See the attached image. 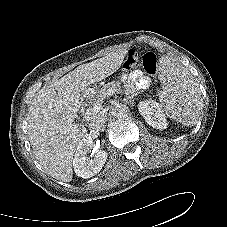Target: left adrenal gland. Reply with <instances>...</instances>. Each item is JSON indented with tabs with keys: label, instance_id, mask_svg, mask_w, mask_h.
<instances>
[{
	"label": "left adrenal gland",
	"instance_id": "left-adrenal-gland-1",
	"mask_svg": "<svg viewBox=\"0 0 227 227\" xmlns=\"http://www.w3.org/2000/svg\"><path fill=\"white\" fill-rule=\"evenodd\" d=\"M136 95V94H135ZM133 97H134V94L132 95V96H127L126 98H125V101L126 102H131V100L133 99Z\"/></svg>",
	"mask_w": 227,
	"mask_h": 227
}]
</instances>
